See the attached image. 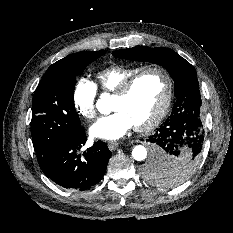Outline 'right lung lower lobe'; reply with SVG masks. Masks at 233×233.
I'll return each instance as SVG.
<instances>
[{"label": "right lung lower lobe", "mask_w": 233, "mask_h": 233, "mask_svg": "<svg viewBox=\"0 0 233 233\" xmlns=\"http://www.w3.org/2000/svg\"><path fill=\"white\" fill-rule=\"evenodd\" d=\"M86 140L82 128L67 137L49 162L41 168L44 174L68 189L83 191L96 185L104 176L112 153L106 143L98 141L81 157L78 150L85 145Z\"/></svg>", "instance_id": "obj_1"}]
</instances>
